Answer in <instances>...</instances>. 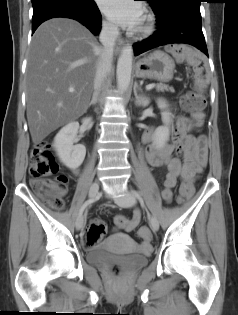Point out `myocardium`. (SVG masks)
Returning a JSON list of instances; mask_svg holds the SVG:
<instances>
[{
  "mask_svg": "<svg viewBox=\"0 0 238 315\" xmlns=\"http://www.w3.org/2000/svg\"><path fill=\"white\" fill-rule=\"evenodd\" d=\"M154 18L152 15L147 14L144 16L142 24L138 28L137 32L140 36H148L153 32Z\"/></svg>",
  "mask_w": 238,
  "mask_h": 315,
  "instance_id": "obj_1",
  "label": "myocardium"
}]
</instances>
